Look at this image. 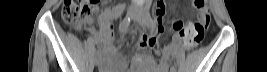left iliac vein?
Masks as SVG:
<instances>
[{"mask_svg":"<svg viewBox=\"0 0 267 72\" xmlns=\"http://www.w3.org/2000/svg\"><path fill=\"white\" fill-rule=\"evenodd\" d=\"M137 17L141 23V25L143 27H146L147 26V10H146V7L140 9L138 12H137ZM171 72H176V70H172L171 69Z\"/></svg>","mask_w":267,"mask_h":72,"instance_id":"1","label":"left iliac vein"}]
</instances>
